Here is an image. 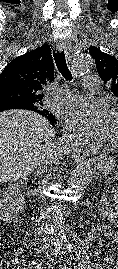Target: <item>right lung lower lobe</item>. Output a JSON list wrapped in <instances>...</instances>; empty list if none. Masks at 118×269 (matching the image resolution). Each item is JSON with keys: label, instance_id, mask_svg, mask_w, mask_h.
Wrapping results in <instances>:
<instances>
[{"label": "right lung lower lobe", "instance_id": "1", "mask_svg": "<svg viewBox=\"0 0 118 269\" xmlns=\"http://www.w3.org/2000/svg\"><path fill=\"white\" fill-rule=\"evenodd\" d=\"M9 109H27V110H32L30 107H28L26 105L17 104V103H8V104H2V105H0V112L5 111V110H9Z\"/></svg>", "mask_w": 118, "mask_h": 269}]
</instances>
